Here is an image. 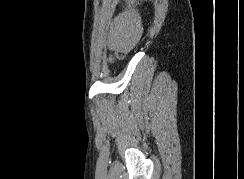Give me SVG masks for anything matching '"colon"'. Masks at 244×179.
I'll return each instance as SVG.
<instances>
[{"mask_svg":"<svg viewBox=\"0 0 244 179\" xmlns=\"http://www.w3.org/2000/svg\"><path fill=\"white\" fill-rule=\"evenodd\" d=\"M123 57H124V53L122 52V50L119 49L115 52L116 59L121 60Z\"/></svg>","mask_w":244,"mask_h":179,"instance_id":"obj_1","label":"colon"}]
</instances>
